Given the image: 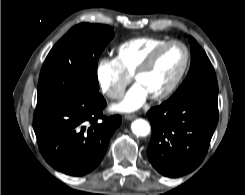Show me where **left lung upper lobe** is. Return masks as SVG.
<instances>
[{
	"instance_id": "5c2ea615",
	"label": "left lung upper lobe",
	"mask_w": 245,
	"mask_h": 195,
	"mask_svg": "<svg viewBox=\"0 0 245 195\" xmlns=\"http://www.w3.org/2000/svg\"><path fill=\"white\" fill-rule=\"evenodd\" d=\"M191 67L186 79L169 100L217 104L218 83L214 68L204 50L189 36Z\"/></svg>"
}]
</instances>
